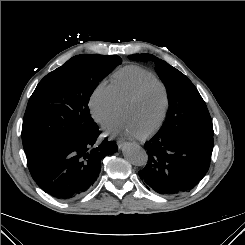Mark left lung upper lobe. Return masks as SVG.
Listing matches in <instances>:
<instances>
[{"instance_id": "obj_1", "label": "left lung upper lobe", "mask_w": 245, "mask_h": 245, "mask_svg": "<svg viewBox=\"0 0 245 245\" xmlns=\"http://www.w3.org/2000/svg\"><path fill=\"white\" fill-rule=\"evenodd\" d=\"M128 58L134 61L154 62L155 70L165 84L169 108L159 132H170L176 127L190 126L214 134L206 103L194 84L183 73L152 54H133Z\"/></svg>"}]
</instances>
